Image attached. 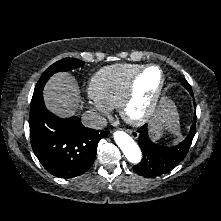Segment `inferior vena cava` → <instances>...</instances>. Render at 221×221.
<instances>
[{
  "mask_svg": "<svg viewBox=\"0 0 221 221\" xmlns=\"http://www.w3.org/2000/svg\"><path fill=\"white\" fill-rule=\"evenodd\" d=\"M82 122L85 126L101 130L107 126L106 118L102 117L101 115L95 112H86L82 115Z\"/></svg>",
  "mask_w": 221,
  "mask_h": 221,
  "instance_id": "1",
  "label": "inferior vena cava"
}]
</instances>
